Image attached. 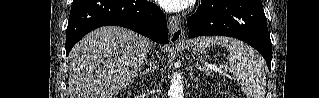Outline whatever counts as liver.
I'll list each match as a JSON object with an SVG mask.
<instances>
[{
    "mask_svg": "<svg viewBox=\"0 0 319 98\" xmlns=\"http://www.w3.org/2000/svg\"><path fill=\"white\" fill-rule=\"evenodd\" d=\"M153 43L117 26L98 28L70 51V98H112L137 76Z\"/></svg>",
    "mask_w": 319,
    "mask_h": 98,
    "instance_id": "obj_1",
    "label": "liver"
}]
</instances>
